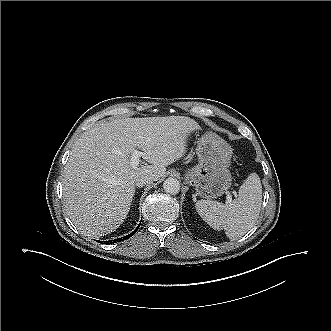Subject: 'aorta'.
Masks as SVG:
<instances>
[{"instance_id": "762f6f07", "label": "aorta", "mask_w": 331, "mask_h": 331, "mask_svg": "<svg viewBox=\"0 0 331 331\" xmlns=\"http://www.w3.org/2000/svg\"><path fill=\"white\" fill-rule=\"evenodd\" d=\"M180 183L177 179L169 177L163 183L164 191L171 195H176L180 192Z\"/></svg>"}]
</instances>
